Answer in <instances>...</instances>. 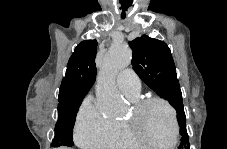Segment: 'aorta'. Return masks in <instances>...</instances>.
<instances>
[{
    "label": "aorta",
    "instance_id": "762f6f07",
    "mask_svg": "<svg viewBox=\"0 0 227 149\" xmlns=\"http://www.w3.org/2000/svg\"><path fill=\"white\" fill-rule=\"evenodd\" d=\"M132 59L131 50L124 43H115L104 57L96 86V104L104 116H117L123 104L116 87L118 73L126 68Z\"/></svg>",
    "mask_w": 227,
    "mask_h": 149
}]
</instances>
